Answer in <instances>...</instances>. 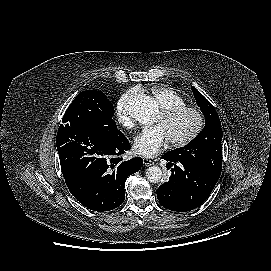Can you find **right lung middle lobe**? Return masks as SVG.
<instances>
[{
	"mask_svg": "<svg viewBox=\"0 0 271 271\" xmlns=\"http://www.w3.org/2000/svg\"><path fill=\"white\" fill-rule=\"evenodd\" d=\"M114 108L101 91L87 90L79 93L70 104L62 119L63 124L81 122L91 129H117L112 117Z\"/></svg>",
	"mask_w": 271,
	"mask_h": 271,
	"instance_id": "dd1d6c3e",
	"label": "right lung middle lobe"
}]
</instances>
